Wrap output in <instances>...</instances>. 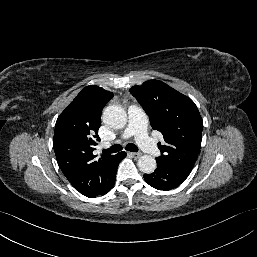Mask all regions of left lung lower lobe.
<instances>
[{
	"label": "left lung lower lobe",
	"instance_id": "left-lung-lower-lobe-1",
	"mask_svg": "<svg viewBox=\"0 0 257 257\" xmlns=\"http://www.w3.org/2000/svg\"><path fill=\"white\" fill-rule=\"evenodd\" d=\"M188 175L168 164L157 161V168L154 173L144 174V179L150 186L158 190H171L178 187Z\"/></svg>",
	"mask_w": 257,
	"mask_h": 257
}]
</instances>
